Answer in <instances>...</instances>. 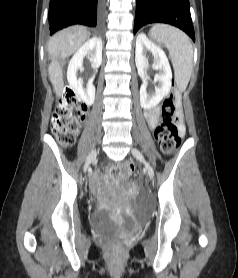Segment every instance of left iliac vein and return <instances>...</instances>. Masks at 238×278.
<instances>
[{
  "instance_id": "1",
  "label": "left iliac vein",
  "mask_w": 238,
  "mask_h": 278,
  "mask_svg": "<svg viewBox=\"0 0 238 278\" xmlns=\"http://www.w3.org/2000/svg\"><path fill=\"white\" fill-rule=\"evenodd\" d=\"M131 152L134 157H136L138 160L143 162L148 176L150 177V179H153L154 178V170H153L152 166L145 160V158H144L143 154L140 152V150H138L137 148H132Z\"/></svg>"
}]
</instances>
